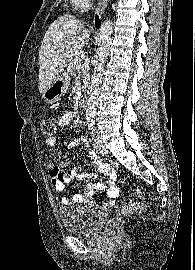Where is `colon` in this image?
Instances as JSON below:
<instances>
[{
	"mask_svg": "<svg viewBox=\"0 0 195 270\" xmlns=\"http://www.w3.org/2000/svg\"><path fill=\"white\" fill-rule=\"evenodd\" d=\"M40 130L42 134L46 137L53 136L55 132V123L51 118H42L40 123ZM135 197L137 199H141L143 197V193L140 190L135 191ZM145 209V205L141 202H136L133 204H129L124 206L115 217L111 218L108 222V227H112L115 223L123 216L130 215L133 213L141 212Z\"/></svg>",
	"mask_w": 195,
	"mask_h": 270,
	"instance_id": "5ec220e1",
	"label": "colon"
}]
</instances>
